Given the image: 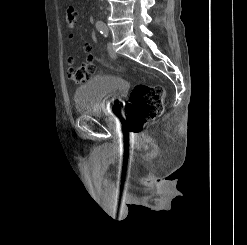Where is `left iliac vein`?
<instances>
[{"label":"left iliac vein","instance_id":"1","mask_svg":"<svg viewBox=\"0 0 247 245\" xmlns=\"http://www.w3.org/2000/svg\"><path fill=\"white\" fill-rule=\"evenodd\" d=\"M107 49H108V53L109 55L112 57V58H115L116 57V52L112 46V44L110 42H108L107 44Z\"/></svg>","mask_w":247,"mask_h":245}]
</instances>
